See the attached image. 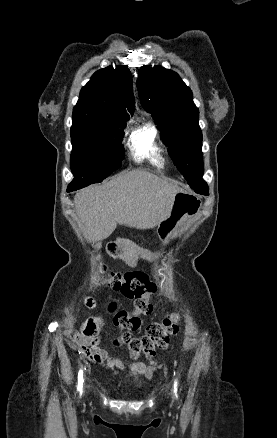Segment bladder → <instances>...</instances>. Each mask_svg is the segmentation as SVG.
I'll use <instances>...</instances> for the list:
<instances>
[{
	"label": "bladder",
	"instance_id": "bladder-1",
	"mask_svg": "<svg viewBox=\"0 0 277 438\" xmlns=\"http://www.w3.org/2000/svg\"><path fill=\"white\" fill-rule=\"evenodd\" d=\"M122 394L126 395V396H132L134 393L126 390V391H123Z\"/></svg>",
	"mask_w": 277,
	"mask_h": 438
}]
</instances>
